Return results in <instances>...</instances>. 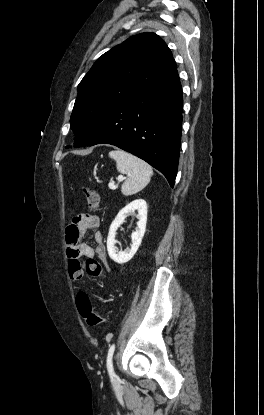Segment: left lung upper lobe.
Wrapping results in <instances>:
<instances>
[{
	"label": "left lung upper lobe",
	"instance_id": "5c2ea615",
	"mask_svg": "<svg viewBox=\"0 0 264 415\" xmlns=\"http://www.w3.org/2000/svg\"><path fill=\"white\" fill-rule=\"evenodd\" d=\"M176 68L170 49L155 33L132 36L104 53L78 85L70 118L74 146L80 147L121 101Z\"/></svg>",
	"mask_w": 264,
	"mask_h": 415
}]
</instances>
